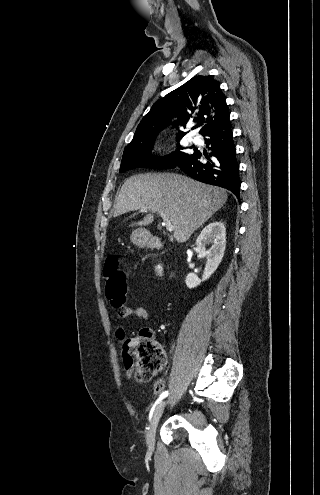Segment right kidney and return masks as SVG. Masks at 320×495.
Masks as SVG:
<instances>
[{
    "label": "right kidney",
    "instance_id": "obj_1",
    "mask_svg": "<svg viewBox=\"0 0 320 495\" xmlns=\"http://www.w3.org/2000/svg\"><path fill=\"white\" fill-rule=\"evenodd\" d=\"M211 244V247L206 250V246ZM226 247V231L225 226L221 222H213L207 225L200 233L196 240L195 250L203 254L206 259L205 269L202 275V280L194 273H189L186 276V286L194 288L200 285L201 281L207 280L218 268L222 261Z\"/></svg>",
    "mask_w": 320,
    "mask_h": 495
}]
</instances>
